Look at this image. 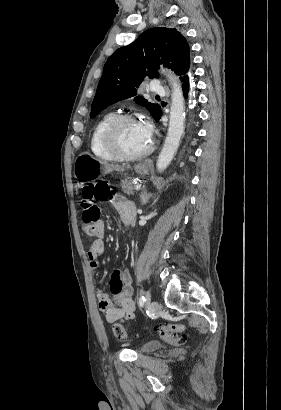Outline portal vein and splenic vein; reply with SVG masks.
I'll return each instance as SVG.
<instances>
[{
	"mask_svg": "<svg viewBox=\"0 0 281 410\" xmlns=\"http://www.w3.org/2000/svg\"><path fill=\"white\" fill-rule=\"evenodd\" d=\"M140 189H141V185H140V184L135 185V190H140Z\"/></svg>",
	"mask_w": 281,
	"mask_h": 410,
	"instance_id": "1",
	"label": "portal vein and splenic vein"
}]
</instances>
